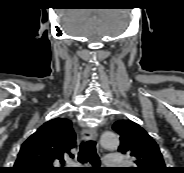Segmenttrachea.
Returning a JSON list of instances; mask_svg holds the SVG:
<instances>
[{
  "instance_id": "trachea-1",
  "label": "trachea",
  "mask_w": 184,
  "mask_h": 173,
  "mask_svg": "<svg viewBox=\"0 0 184 173\" xmlns=\"http://www.w3.org/2000/svg\"><path fill=\"white\" fill-rule=\"evenodd\" d=\"M80 163L89 162L94 167L100 166V159L96 152V142L92 140L82 141L78 153Z\"/></svg>"
}]
</instances>
